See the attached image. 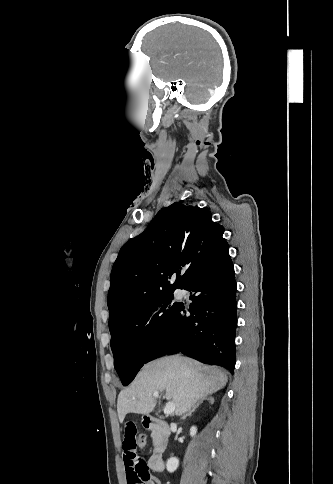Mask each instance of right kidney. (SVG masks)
<instances>
[{
    "label": "right kidney",
    "instance_id": "1",
    "mask_svg": "<svg viewBox=\"0 0 333 484\" xmlns=\"http://www.w3.org/2000/svg\"><path fill=\"white\" fill-rule=\"evenodd\" d=\"M196 432H197V428L195 426H192L190 428L191 437L195 436ZM178 465H179V460L176 457H171L167 460L166 468L170 473H172L178 468Z\"/></svg>",
    "mask_w": 333,
    "mask_h": 484
}]
</instances>
